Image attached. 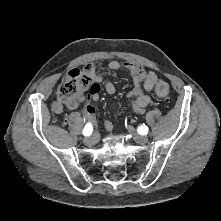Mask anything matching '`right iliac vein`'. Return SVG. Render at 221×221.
I'll use <instances>...</instances> for the list:
<instances>
[{"label":"right iliac vein","mask_w":221,"mask_h":221,"mask_svg":"<svg viewBox=\"0 0 221 221\" xmlns=\"http://www.w3.org/2000/svg\"><path fill=\"white\" fill-rule=\"evenodd\" d=\"M83 142L86 144V145H92L96 142V136L95 135H92L90 137H86L84 138Z\"/></svg>","instance_id":"right-iliac-vein-1"}]
</instances>
